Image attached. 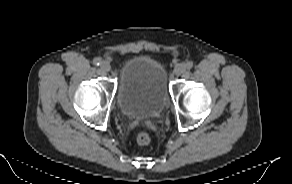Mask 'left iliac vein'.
<instances>
[{
    "mask_svg": "<svg viewBox=\"0 0 292 184\" xmlns=\"http://www.w3.org/2000/svg\"><path fill=\"white\" fill-rule=\"evenodd\" d=\"M186 70L185 64L181 63L175 66L174 68V74L175 75H181L182 73H184Z\"/></svg>",
    "mask_w": 292,
    "mask_h": 184,
    "instance_id": "obj_1",
    "label": "left iliac vein"
}]
</instances>
